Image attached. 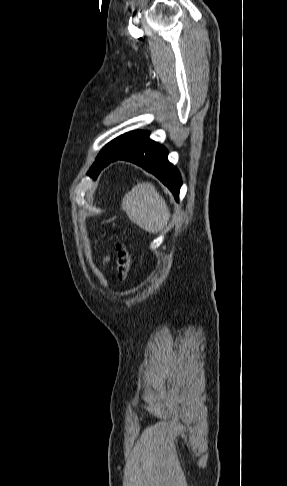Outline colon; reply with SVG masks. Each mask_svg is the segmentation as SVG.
Returning a JSON list of instances; mask_svg holds the SVG:
<instances>
[{
	"label": "colon",
	"mask_w": 287,
	"mask_h": 486,
	"mask_svg": "<svg viewBox=\"0 0 287 486\" xmlns=\"http://www.w3.org/2000/svg\"><path fill=\"white\" fill-rule=\"evenodd\" d=\"M116 272L120 279H124L130 272L132 255L123 243L116 245Z\"/></svg>",
	"instance_id": "colon-1"
}]
</instances>
